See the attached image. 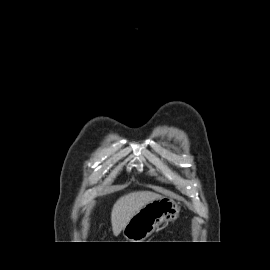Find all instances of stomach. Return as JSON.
I'll use <instances>...</instances> for the list:
<instances>
[{
	"label": "stomach",
	"instance_id": "0dacf381",
	"mask_svg": "<svg viewBox=\"0 0 270 270\" xmlns=\"http://www.w3.org/2000/svg\"><path fill=\"white\" fill-rule=\"evenodd\" d=\"M179 206L166 197H161L143 206L123 229L128 242H143L159 225L177 219Z\"/></svg>",
	"mask_w": 270,
	"mask_h": 270
}]
</instances>
